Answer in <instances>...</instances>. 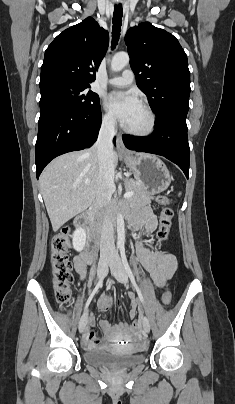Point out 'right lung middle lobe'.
I'll list each match as a JSON object with an SVG mask.
<instances>
[{"instance_id": "right-lung-middle-lobe-1", "label": "right lung middle lobe", "mask_w": 235, "mask_h": 404, "mask_svg": "<svg viewBox=\"0 0 235 404\" xmlns=\"http://www.w3.org/2000/svg\"><path fill=\"white\" fill-rule=\"evenodd\" d=\"M80 86L67 82H51L40 85V110L63 108L72 112H88L100 106L99 96Z\"/></svg>"}]
</instances>
